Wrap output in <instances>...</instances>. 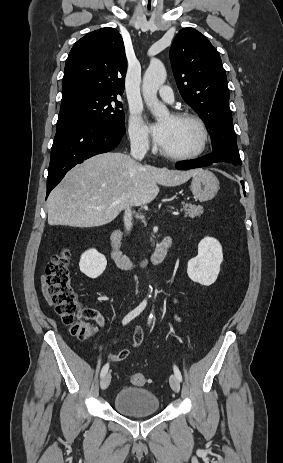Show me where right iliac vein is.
<instances>
[{"instance_id":"63e3f726","label":"right iliac vein","mask_w":283,"mask_h":463,"mask_svg":"<svg viewBox=\"0 0 283 463\" xmlns=\"http://www.w3.org/2000/svg\"><path fill=\"white\" fill-rule=\"evenodd\" d=\"M110 382H111V374L107 373L101 379V382H100L101 389L105 390L109 386Z\"/></svg>"}]
</instances>
